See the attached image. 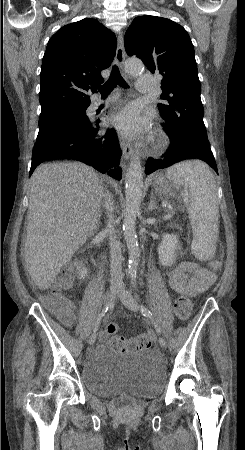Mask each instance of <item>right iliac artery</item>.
Returning <instances> with one entry per match:
<instances>
[{
  "label": "right iliac artery",
  "instance_id": "1",
  "mask_svg": "<svg viewBox=\"0 0 245 450\" xmlns=\"http://www.w3.org/2000/svg\"><path fill=\"white\" fill-rule=\"evenodd\" d=\"M113 307V301L111 299V301L105 306V308L102 310V312L99 314L97 321L95 323L94 329L93 331L96 332L99 328V323L101 321V319L105 316V314L107 313V311H109L111 308Z\"/></svg>",
  "mask_w": 245,
  "mask_h": 450
}]
</instances>
